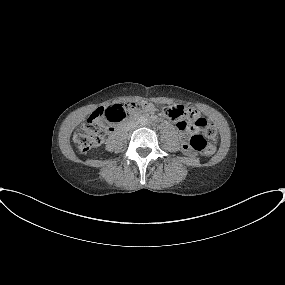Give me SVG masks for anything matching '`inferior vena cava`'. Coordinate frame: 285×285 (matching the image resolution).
<instances>
[{
    "label": "inferior vena cava",
    "mask_w": 285,
    "mask_h": 285,
    "mask_svg": "<svg viewBox=\"0 0 285 285\" xmlns=\"http://www.w3.org/2000/svg\"><path fill=\"white\" fill-rule=\"evenodd\" d=\"M138 127V123L137 122H132V123H128V125H127V130H133V129H135V128H137Z\"/></svg>",
    "instance_id": "obj_1"
}]
</instances>
